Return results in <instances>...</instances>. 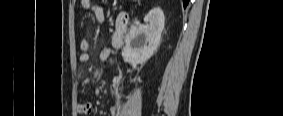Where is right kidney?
<instances>
[{"label":"right kidney","mask_w":283,"mask_h":116,"mask_svg":"<svg viewBox=\"0 0 283 116\" xmlns=\"http://www.w3.org/2000/svg\"><path fill=\"white\" fill-rule=\"evenodd\" d=\"M145 26L130 30L122 50L125 62L133 67L145 63L157 50L164 29L165 16L160 8H153L145 16Z\"/></svg>","instance_id":"1"}]
</instances>
